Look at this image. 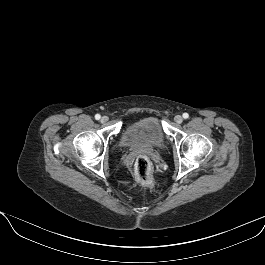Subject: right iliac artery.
I'll list each match as a JSON object with an SVG mask.
<instances>
[{"instance_id":"82829eb1","label":"right iliac artery","mask_w":265,"mask_h":265,"mask_svg":"<svg viewBox=\"0 0 265 265\" xmlns=\"http://www.w3.org/2000/svg\"><path fill=\"white\" fill-rule=\"evenodd\" d=\"M100 118H101V116H100L99 114H96V115H95V119H96V120H99Z\"/></svg>"}]
</instances>
